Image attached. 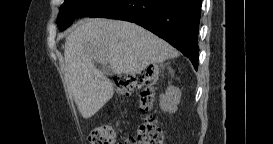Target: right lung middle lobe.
<instances>
[{
  "label": "right lung middle lobe",
  "mask_w": 273,
  "mask_h": 144,
  "mask_svg": "<svg viewBox=\"0 0 273 144\" xmlns=\"http://www.w3.org/2000/svg\"><path fill=\"white\" fill-rule=\"evenodd\" d=\"M109 0H65L57 17V25L60 30L71 25L72 20L90 15Z\"/></svg>",
  "instance_id": "dd1d6c3e"
}]
</instances>
